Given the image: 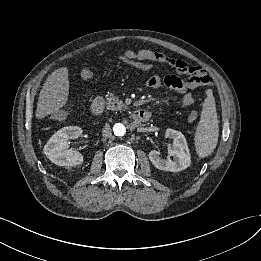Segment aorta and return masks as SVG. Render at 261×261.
I'll list each match as a JSON object with an SVG mask.
<instances>
[{"mask_svg":"<svg viewBox=\"0 0 261 261\" xmlns=\"http://www.w3.org/2000/svg\"><path fill=\"white\" fill-rule=\"evenodd\" d=\"M113 131L116 136H124L126 134V127L122 123H116L113 126Z\"/></svg>","mask_w":261,"mask_h":261,"instance_id":"1","label":"aorta"}]
</instances>
